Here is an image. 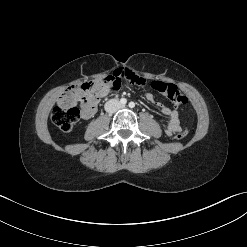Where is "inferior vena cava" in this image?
I'll use <instances>...</instances> for the list:
<instances>
[{"mask_svg":"<svg viewBox=\"0 0 247 247\" xmlns=\"http://www.w3.org/2000/svg\"><path fill=\"white\" fill-rule=\"evenodd\" d=\"M122 107L121 103L117 99H111L105 103V110L108 113H114Z\"/></svg>","mask_w":247,"mask_h":247,"instance_id":"1","label":"inferior vena cava"}]
</instances>
